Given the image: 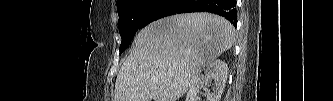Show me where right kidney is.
Returning a JSON list of instances; mask_svg holds the SVG:
<instances>
[{"mask_svg":"<svg viewBox=\"0 0 333 101\" xmlns=\"http://www.w3.org/2000/svg\"><path fill=\"white\" fill-rule=\"evenodd\" d=\"M228 75V66L220 59L212 61L205 70V75L197 76L187 93L186 101H197L201 89L213 82L212 92L206 93V101H220Z\"/></svg>","mask_w":333,"mask_h":101,"instance_id":"right-kidney-1","label":"right kidney"}]
</instances>
